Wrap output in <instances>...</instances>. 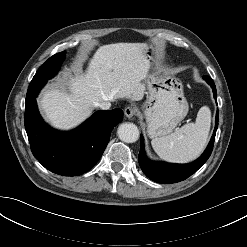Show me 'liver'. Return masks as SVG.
<instances>
[{
    "instance_id": "6515ba94",
    "label": "liver",
    "mask_w": 247,
    "mask_h": 247,
    "mask_svg": "<svg viewBox=\"0 0 247 247\" xmlns=\"http://www.w3.org/2000/svg\"><path fill=\"white\" fill-rule=\"evenodd\" d=\"M145 43H115L100 46L88 68L81 65L60 87L43 92L39 104L50 124L70 130L84 122L104 101L127 98L142 100L150 63Z\"/></svg>"
}]
</instances>
